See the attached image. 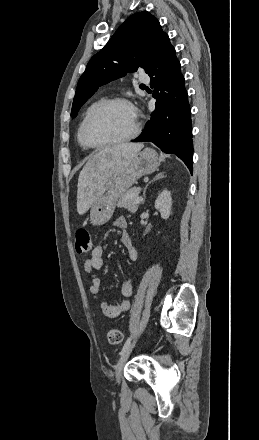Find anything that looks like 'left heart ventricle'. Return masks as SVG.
Masks as SVG:
<instances>
[{"mask_svg": "<svg viewBox=\"0 0 259 440\" xmlns=\"http://www.w3.org/2000/svg\"><path fill=\"white\" fill-rule=\"evenodd\" d=\"M134 125L133 110L124 104H113L100 111L91 120L88 137L94 143L117 140L130 134Z\"/></svg>", "mask_w": 259, "mask_h": 440, "instance_id": "1", "label": "left heart ventricle"}]
</instances>
